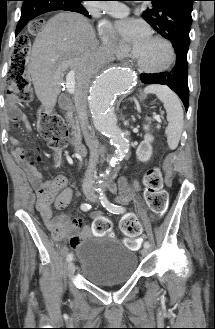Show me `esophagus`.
I'll return each mask as SVG.
<instances>
[{"mask_svg": "<svg viewBox=\"0 0 215 329\" xmlns=\"http://www.w3.org/2000/svg\"><path fill=\"white\" fill-rule=\"evenodd\" d=\"M124 64L127 65V64H129V62L128 61H125Z\"/></svg>", "mask_w": 215, "mask_h": 329, "instance_id": "1", "label": "esophagus"}]
</instances>
